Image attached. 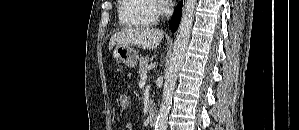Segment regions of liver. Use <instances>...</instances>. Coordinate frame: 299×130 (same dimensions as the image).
Returning a JSON list of instances; mask_svg holds the SVG:
<instances>
[{
	"mask_svg": "<svg viewBox=\"0 0 299 130\" xmlns=\"http://www.w3.org/2000/svg\"><path fill=\"white\" fill-rule=\"evenodd\" d=\"M163 38V31L153 28H126L115 33L109 42V50L116 45H136L143 49H156Z\"/></svg>",
	"mask_w": 299,
	"mask_h": 130,
	"instance_id": "obj_1",
	"label": "liver"
}]
</instances>
